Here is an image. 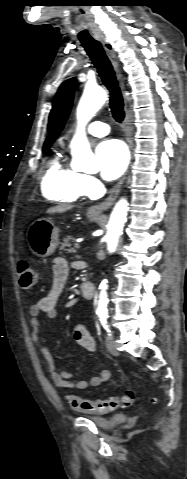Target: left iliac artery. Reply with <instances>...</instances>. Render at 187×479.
Here are the masks:
<instances>
[{"instance_id":"obj_1","label":"left iliac artery","mask_w":187,"mask_h":479,"mask_svg":"<svg viewBox=\"0 0 187 479\" xmlns=\"http://www.w3.org/2000/svg\"><path fill=\"white\" fill-rule=\"evenodd\" d=\"M107 318H108V315H101L100 316V321L104 327V329L109 333V335H111V331H110V328H109V325L107 324Z\"/></svg>"}]
</instances>
